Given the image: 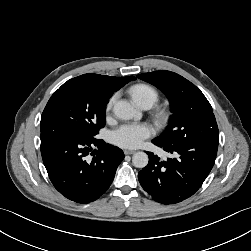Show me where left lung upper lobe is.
<instances>
[{"instance_id": "1", "label": "left lung upper lobe", "mask_w": 251, "mask_h": 251, "mask_svg": "<svg viewBox=\"0 0 251 251\" xmlns=\"http://www.w3.org/2000/svg\"><path fill=\"white\" fill-rule=\"evenodd\" d=\"M160 89L169 99L173 112L166 130L154 140L174 145L194 138L219 139L212 107L204 94L190 81L170 71L137 75Z\"/></svg>"}]
</instances>
